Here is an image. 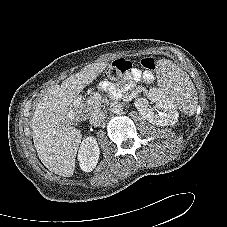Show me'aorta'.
I'll use <instances>...</instances> for the list:
<instances>
[{
  "label": "aorta",
  "mask_w": 227,
  "mask_h": 227,
  "mask_svg": "<svg viewBox=\"0 0 227 227\" xmlns=\"http://www.w3.org/2000/svg\"><path fill=\"white\" fill-rule=\"evenodd\" d=\"M123 110V106L120 102L115 101L113 103L110 104V111L114 114H119L120 112H122Z\"/></svg>",
  "instance_id": "aorta-1"
}]
</instances>
